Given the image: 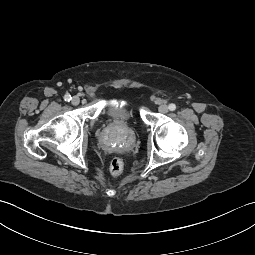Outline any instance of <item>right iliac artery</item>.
<instances>
[{
	"instance_id": "right-iliac-artery-1",
	"label": "right iliac artery",
	"mask_w": 255,
	"mask_h": 255,
	"mask_svg": "<svg viewBox=\"0 0 255 255\" xmlns=\"http://www.w3.org/2000/svg\"><path fill=\"white\" fill-rule=\"evenodd\" d=\"M71 99H72V97H71V95H69V94H66V95L64 96V100L67 101V102H69Z\"/></svg>"
}]
</instances>
